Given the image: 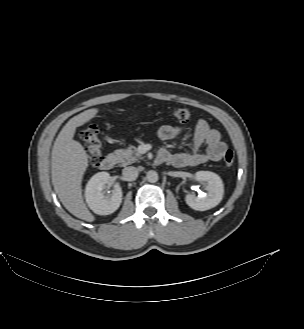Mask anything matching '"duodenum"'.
I'll return each instance as SVG.
<instances>
[{
    "label": "duodenum",
    "mask_w": 304,
    "mask_h": 329,
    "mask_svg": "<svg viewBox=\"0 0 304 329\" xmlns=\"http://www.w3.org/2000/svg\"><path fill=\"white\" fill-rule=\"evenodd\" d=\"M159 158H160V159H163V154L160 153V154H159ZM115 163H116V158H115V156H113V155H108V156H105V157L101 160V162H100V168H101L102 170L107 171V170L112 169V168L114 167Z\"/></svg>",
    "instance_id": "obj_1"
}]
</instances>
